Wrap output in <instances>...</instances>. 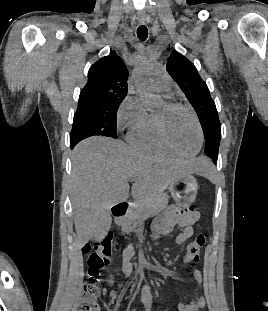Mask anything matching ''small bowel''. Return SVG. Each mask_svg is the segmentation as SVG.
<instances>
[{"label":"small bowel","instance_id":"1","mask_svg":"<svg viewBox=\"0 0 268 311\" xmlns=\"http://www.w3.org/2000/svg\"><path fill=\"white\" fill-rule=\"evenodd\" d=\"M199 214L193 210H186L178 212L170 210L158 217L153 223V231L151 238L156 240L162 235L171 234L175 228H180L181 231L176 235L175 242L183 246L193 234V225L198 221ZM134 260H135V248L133 244H129L122 254V272L126 277H132L134 271ZM194 279L201 286L202 274L199 270L193 272ZM120 288L121 285H118ZM119 291H112L110 297L112 300H116L120 297ZM140 299L145 311H151L153 296L148 286H143L140 291ZM205 305V298L200 295L196 299H192L189 302L181 301L179 303V311H199Z\"/></svg>","mask_w":268,"mask_h":311}]
</instances>
